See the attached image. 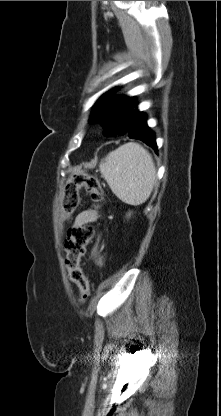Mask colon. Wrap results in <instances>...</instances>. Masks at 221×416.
Listing matches in <instances>:
<instances>
[{
    "mask_svg": "<svg viewBox=\"0 0 221 416\" xmlns=\"http://www.w3.org/2000/svg\"><path fill=\"white\" fill-rule=\"evenodd\" d=\"M85 187L94 202L96 208L103 200V190L97 178L86 175H75L64 188L61 208L64 218H69L77 209L78 191ZM94 237V228L90 225L73 226L69 229L64 241L65 266L69 279L76 284L79 290V300L85 302L90 294L89 280L82 268L81 260L85 256L87 247Z\"/></svg>",
    "mask_w": 221,
    "mask_h": 416,
    "instance_id": "5ec220e1",
    "label": "colon"
}]
</instances>
